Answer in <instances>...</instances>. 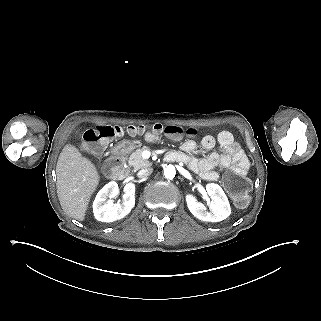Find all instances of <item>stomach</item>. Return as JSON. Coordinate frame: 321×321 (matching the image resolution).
Wrapping results in <instances>:
<instances>
[{"mask_svg":"<svg viewBox=\"0 0 321 321\" xmlns=\"http://www.w3.org/2000/svg\"><path fill=\"white\" fill-rule=\"evenodd\" d=\"M123 142L118 143V146L121 145ZM125 147H127L129 144L127 142H124Z\"/></svg>","mask_w":321,"mask_h":321,"instance_id":"obj_1","label":"stomach"}]
</instances>
